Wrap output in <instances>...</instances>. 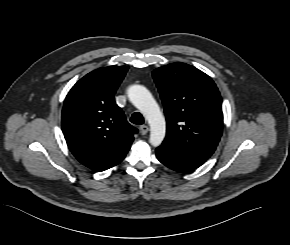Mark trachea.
Here are the masks:
<instances>
[{"instance_id": "1", "label": "trachea", "mask_w": 290, "mask_h": 245, "mask_svg": "<svg viewBox=\"0 0 290 245\" xmlns=\"http://www.w3.org/2000/svg\"><path fill=\"white\" fill-rule=\"evenodd\" d=\"M130 121L133 124L142 125L144 123V118H143L142 114H140L139 112H135L132 114Z\"/></svg>"}]
</instances>
